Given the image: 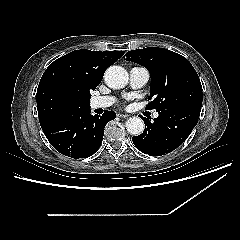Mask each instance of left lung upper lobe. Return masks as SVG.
I'll list each match as a JSON object with an SVG mask.
<instances>
[{"label": "left lung upper lobe", "mask_w": 240, "mask_h": 240, "mask_svg": "<svg viewBox=\"0 0 240 240\" xmlns=\"http://www.w3.org/2000/svg\"><path fill=\"white\" fill-rule=\"evenodd\" d=\"M127 61L146 67L151 74L148 109L157 112L188 104L202 103L200 79L183 56L165 48H144L125 54Z\"/></svg>", "instance_id": "obj_1"}]
</instances>
